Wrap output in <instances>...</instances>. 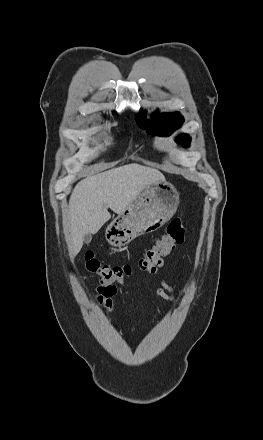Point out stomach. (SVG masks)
Segmentation results:
<instances>
[{"label":"stomach","instance_id":"1","mask_svg":"<svg viewBox=\"0 0 263 440\" xmlns=\"http://www.w3.org/2000/svg\"><path fill=\"white\" fill-rule=\"evenodd\" d=\"M179 205L176 187L165 179L144 187L125 211L107 227L106 238L121 247L136 237L161 228Z\"/></svg>","mask_w":263,"mask_h":440}]
</instances>
